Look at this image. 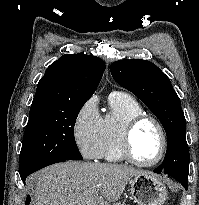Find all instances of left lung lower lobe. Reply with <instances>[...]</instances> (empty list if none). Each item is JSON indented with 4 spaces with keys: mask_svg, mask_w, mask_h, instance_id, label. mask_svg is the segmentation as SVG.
Instances as JSON below:
<instances>
[{
    "mask_svg": "<svg viewBox=\"0 0 199 205\" xmlns=\"http://www.w3.org/2000/svg\"><path fill=\"white\" fill-rule=\"evenodd\" d=\"M157 173L156 171H154ZM159 174V173H158ZM178 181L182 184V186L187 189L188 188V180L178 179Z\"/></svg>",
    "mask_w": 199,
    "mask_h": 205,
    "instance_id": "obj_1",
    "label": "left lung lower lobe"
}]
</instances>
